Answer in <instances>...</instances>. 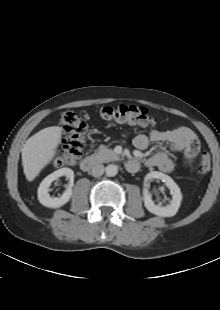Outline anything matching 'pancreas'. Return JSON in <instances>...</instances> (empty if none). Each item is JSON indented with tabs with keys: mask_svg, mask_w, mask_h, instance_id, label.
Segmentation results:
<instances>
[{
	"mask_svg": "<svg viewBox=\"0 0 220 310\" xmlns=\"http://www.w3.org/2000/svg\"><path fill=\"white\" fill-rule=\"evenodd\" d=\"M93 156L100 162H109L119 159V156L111 149H108L106 146H101L98 148Z\"/></svg>",
	"mask_w": 220,
	"mask_h": 310,
	"instance_id": "obj_1",
	"label": "pancreas"
}]
</instances>
